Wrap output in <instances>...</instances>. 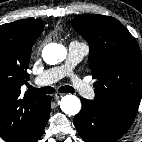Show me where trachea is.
Returning <instances> with one entry per match:
<instances>
[{"mask_svg": "<svg viewBox=\"0 0 142 142\" xmlns=\"http://www.w3.org/2000/svg\"><path fill=\"white\" fill-rule=\"evenodd\" d=\"M30 92H36L39 94H52L55 92L53 87H42V88H35L33 86H28ZM59 91L62 93H74V89L71 86H62L59 88Z\"/></svg>", "mask_w": 142, "mask_h": 142, "instance_id": "1", "label": "trachea"}]
</instances>
